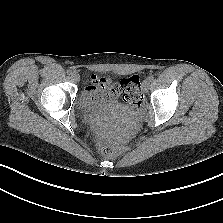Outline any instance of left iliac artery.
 I'll use <instances>...</instances> for the list:
<instances>
[{"label":"left iliac artery","instance_id":"obj_1","mask_svg":"<svg viewBox=\"0 0 223 223\" xmlns=\"http://www.w3.org/2000/svg\"><path fill=\"white\" fill-rule=\"evenodd\" d=\"M147 80H148L149 82H152V81L154 80V76H153V75L148 76Z\"/></svg>","mask_w":223,"mask_h":223}]
</instances>
